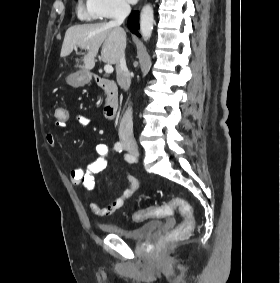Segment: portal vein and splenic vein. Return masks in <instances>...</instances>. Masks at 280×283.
Segmentation results:
<instances>
[{
	"instance_id": "1",
	"label": "portal vein and splenic vein",
	"mask_w": 280,
	"mask_h": 283,
	"mask_svg": "<svg viewBox=\"0 0 280 283\" xmlns=\"http://www.w3.org/2000/svg\"><path fill=\"white\" fill-rule=\"evenodd\" d=\"M86 49H90V47H87ZM104 71H105V73H107V74H111V73H113L114 69H113L112 65L106 64V65L104 66Z\"/></svg>"
}]
</instances>
